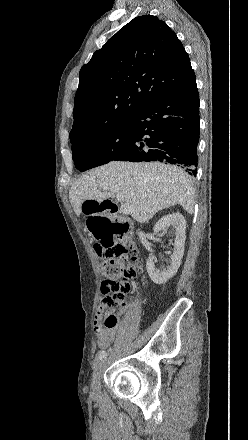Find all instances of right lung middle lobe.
I'll use <instances>...</instances> for the list:
<instances>
[{
  "instance_id": "obj_1",
  "label": "right lung middle lobe",
  "mask_w": 248,
  "mask_h": 440,
  "mask_svg": "<svg viewBox=\"0 0 248 440\" xmlns=\"http://www.w3.org/2000/svg\"><path fill=\"white\" fill-rule=\"evenodd\" d=\"M133 125L130 120L96 137L73 141L72 156L80 171L118 160L128 149Z\"/></svg>"
}]
</instances>
